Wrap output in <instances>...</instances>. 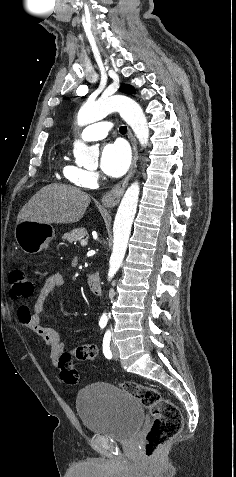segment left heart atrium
Listing matches in <instances>:
<instances>
[{
	"label": "left heart atrium",
	"mask_w": 236,
	"mask_h": 477,
	"mask_svg": "<svg viewBox=\"0 0 236 477\" xmlns=\"http://www.w3.org/2000/svg\"><path fill=\"white\" fill-rule=\"evenodd\" d=\"M130 162L131 154L124 143L115 142L104 146L100 166L102 171L108 176H122L127 171Z\"/></svg>",
	"instance_id": "left-heart-atrium-1"
}]
</instances>
